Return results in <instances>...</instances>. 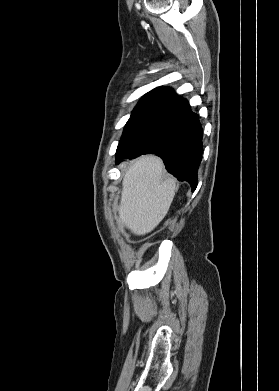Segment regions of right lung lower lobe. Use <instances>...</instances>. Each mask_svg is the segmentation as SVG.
<instances>
[{"mask_svg": "<svg viewBox=\"0 0 279 391\" xmlns=\"http://www.w3.org/2000/svg\"><path fill=\"white\" fill-rule=\"evenodd\" d=\"M203 130L197 114L185 98L167 106L153 122L128 144L117 149L116 161L143 154L159 155L168 172L179 181L197 186V171L202 160Z\"/></svg>", "mask_w": 279, "mask_h": 391, "instance_id": "right-lung-lower-lobe-1", "label": "right lung lower lobe"}]
</instances>
